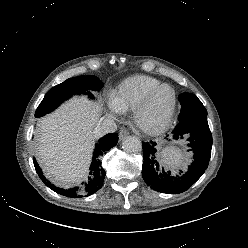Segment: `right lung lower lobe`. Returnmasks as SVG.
Instances as JSON below:
<instances>
[{
    "instance_id": "obj_1",
    "label": "right lung lower lobe",
    "mask_w": 248,
    "mask_h": 248,
    "mask_svg": "<svg viewBox=\"0 0 248 248\" xmlns=\"http://www.w3.org/2000/svg\"><path fill=\"white\" fill-rule=\"evenodd\" d=\"M117 142H118V136L116 133L107 134L106 136H104L99 140V143L96 144L93 153V161L90 166V176L88 177L87 182H85L81 188L74 187L69 190L57 188L44 177L42 170L35 161V159H34V166L39 177L45 183V185H47L50 189H52L56 193L72 198L89 196L95 193L96 191H98L102 187L104 182L105 170L101 167V162H100L101 156L107 151H109L112 147H114L117 144Z\"/></svg>"
}]
</instances>
